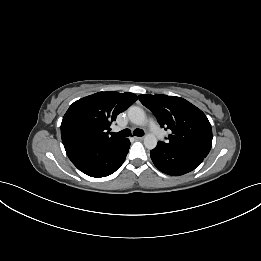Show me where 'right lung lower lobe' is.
Instances as JSON below:
<instances>
[{
	"label": "right lung lower lobe",
	"mask_w": 261,
	"mask_h": 261,
	"mask_svg": "<svg viewBox=\"0 0 261 261\" xmlns=\"http://www.w3.org/2000/svg\"><path fill=\"white\" fill-rule=\"evenodd\" d=\"M129 139L113 142H76L65 145L72 163L91 177H106L114 173L125 161Z\"/></svg>",
	"instance_id": "98d812e1"
}]
</instances>
